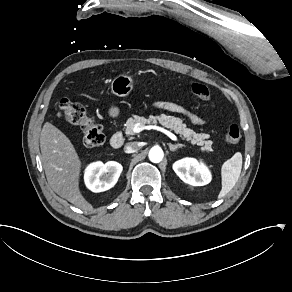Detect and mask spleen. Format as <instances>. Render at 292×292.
Returning <instances> with one entry per match:
<instances>
[{
  "label": "spleen",
  "instance_id": "1",
  "mask_svg": "<svg viewBox=\"0 0 292 292\" xmlns=\"http://www.w3.org/2000/svg\"><path fill=\"white\" fill-rule=\"evenodd\" d=\"M243 157L241 152H236L233 156L226 160L221 167V190L218 199L225 197L236 185L241 169Z\"/></svg>",
  "mask_w": 292,
  "mask_h": 292
}]
</instances>
